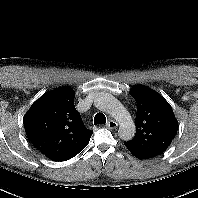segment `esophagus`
Masks as SVG:
<instances>
[{"instance_id": "1", "label": "esophagus", "mask_w": 198, "mask_h": 198, "mask_svg": "<svg viewBox=\"0 0 198 198\" xmlns=\"http://www.w3.org/2000/svg\"><path fill=\"white\" fill-rule=\"evenodd\" d=\"M106 127L109 129H116L118 127V124L114 120H109L106 124Z\"/></svg>"}]
</instances>
